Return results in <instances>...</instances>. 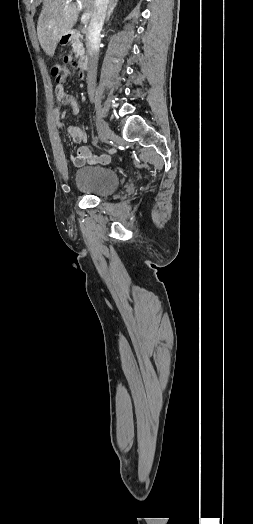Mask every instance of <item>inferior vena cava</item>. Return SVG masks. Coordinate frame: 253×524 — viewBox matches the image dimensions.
<instances>
[{"instance_id":"1","label":"inferior vena cava","mask_w":253,"mask_h":524,"mask_svg":"<svg viewBox=\"0 0 253 524\" xmlns=\"http://www.w3.org/2000/svg\"><path fill=\"white\" fill-rule=\"evenodd\" d=\"M109 0H95V9L91 17L86 36L88 53L87 88L90 98L95 93L100 32L102 30Z\"/></svg>"}]
</instances>
